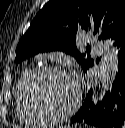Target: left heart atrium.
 Returning <instances> with one entry per match:
<instances>
[{
	"label": "left heart atrium",
	"instance_id": "39dd6f15",
	"mask_svg": "<svg viewBox=\"0 0 125 128\" xmlns=\"http://www.w3.org/2000/svg\"><path fill=\"white\" fill-rule=\"evenodd\" d=\"M72 79V78H71ZM72 81H73V84L75 85V87H77V84H76V82L72 79Z\"/></svg>",
	"mask_w": 125,
	"mask_h": 128
}]
</instances>
